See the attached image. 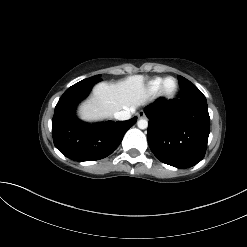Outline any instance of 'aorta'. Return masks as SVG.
Wrapping results in <instances>:
<instances>
[{
  "instance_id": "1",
  "label": "aorta",
  "mask_w": 247,
  "mask_h": 247,
  "mask_svg": "<svg viewBox=\"0 0 247 247\" xmlns=\"http://www.w3.org/2000/svg\"><path fill=\"white\" fill-rule=\"evenodd\" d=\"M137 126L140 129H146L148 127V121L146 119H140L137 122Z\"/></svg>"
}]
</instances>
